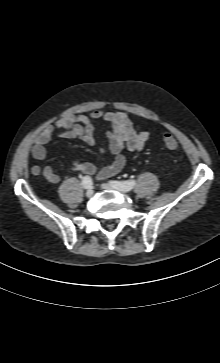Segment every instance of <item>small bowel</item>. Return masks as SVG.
<instances>
[{
	"label": "small bowel",
	"instance_id": "c3829d8e",
	"mask_svg": "<svg viewBox=\"0 0 220 363\" xmlns=\"http://www.w3.org/2000/svg\"><path fill=\"white\" fill-rule=\"evenodd\" d=\"M104 120L111 124V130L106 133L110 151L115 155L114 161L101 169L92 163L74 160L71 170L84 174L95 175L98 180L108 179L119 173L124 167L126 158L123 151L126 149L136 156L149 139V133L140 130L123 112H103L95 110L89 115H70L55 124L48 125L34 139L31 149L32 156L39 161L45 160L47 153L45 145L48 144L56 130L67 139H80L88 145L95 144V128L93 123ZM31 172L36 176H42L47 182L56 184L60 177L49 166L35 165Z\"/></svg>",
	"mask_w": 220,
	"mask_h": 363
}]
</instances>
